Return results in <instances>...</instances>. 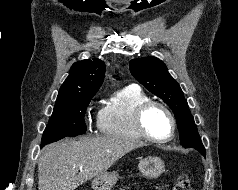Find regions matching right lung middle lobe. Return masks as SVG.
Here are the masks:
<instances>
[{
    "mask_svg": "<svg viewBox=\"0 0 238 190\" xmlns=\"http://www.w3.org/2000/svg\"><path fill=\"white\" fill-rule=\"evenodd\" d=\"M94 95L80 94L72 99L56 102L52 116L44 130L41 147L66 136H76L85 132L87 128L84 115Z\"/></svg>",
    "mask_w": 238,
    "mask_h": 190,
    "instance_id": "right-lung-middle-lobe-1",
    "label": "right lung middle lobe"
}]
</instances>
